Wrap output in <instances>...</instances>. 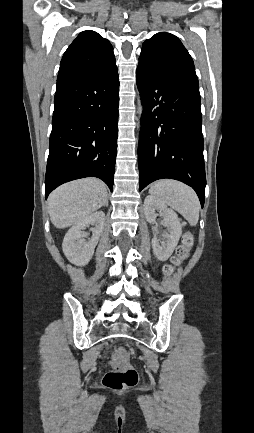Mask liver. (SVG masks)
Segmentation results:
<instances>
[{"label": "liver", "mask_w": 254, "mask_h": 433, "mask_svg": "<svg viewBox=\"0 0 254 433\" xmlns=\"http://www.w3.org/2000/svg\"><path fill=\"white\" fill-rule=\"evenodd\" d=\"M107 200V187L99 179L85 178L64 184L48 198L52 224L66 228L91 215Z\"/></svg>", "instance_id": "obj_1"}]
</instances>
